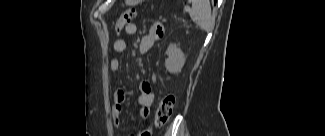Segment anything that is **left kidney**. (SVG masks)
I'll return each mask as SVG.
<instances>
[{
	"label": "left kidney",
	"instance_id": "obj_1",
	"mask_svg": "<svg viewBox=\"0 0 325 136\" xmlns=\"http://www.w3.org/2000/svg\"><path fill=\"white\" fill-rule=\"evenodd\" d=\"M168 58L165 67L170 73H179L183 68L186 58L182 50L175 43H171L166 51Z\"/></svg>",
	"mask_w": 325,
	"mask_h": 136
}]
</instances>
